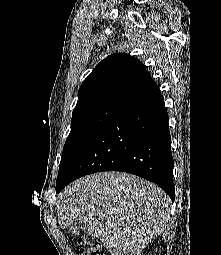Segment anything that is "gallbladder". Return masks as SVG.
<instances>
[{
    "label": "gallbladder",
    "instance_id": "1",
    "mask_svg": "<svg viewBox=\"0 0 221 255\" xmlns=\"http://www.w3.org/2000/svg\"><path fill=\"white\" fill-rule=\"evenodd\" d=\"M80 227H81L80 222H74V223H72V224L70 225L69 230H70L73 234H76V233L79 232Z\"/></svg>",
    "mask_w": 221,
    "mask_h": 255
}]
</instances>
